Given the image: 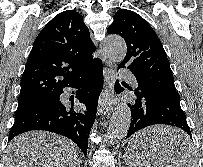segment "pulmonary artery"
I'll return each instance as SVG.
<instances>
[{"mask_svg":"<svg viewBox=\"0 0 203 167\" xmlns=\"http://www.w3.org/2000/svg\"><path fill=\"white\" fill-rule=\"evenodd\" d=\"M120 75L124 78H126L128 81H130L133 84H136V77L127 69H122L120 71Z\"/></svg>","mask_w":203,"mask_h":167,"instance_id":"1","label":"pulmonary artery"}]
</instances>
